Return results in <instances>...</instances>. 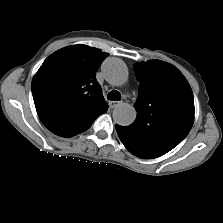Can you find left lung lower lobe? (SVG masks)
<instances>
[{
  "label": "left lung lower lobe",
  "mask_w": 223,
  "mask_h": 223,
  "mask_svg": "<svg viewBox=\"0 0 223 223\" xmlns=\"http://www.w3.org/2000/svg\"><path fill=\"white\" fill-rule=\"evenodd\" d=\"M116 127V130L118 132V127L119 125H115ZM125 147L128 149V151H130L132 154H134L135 156H138L140 158H143V159H151V158H156L157 156L150 153V152H147V151H144V150H141V149H136V148H132V147H129V146H126Z\"/></svg>",
  "instance_id": "obj_1"
}]
</instances>
